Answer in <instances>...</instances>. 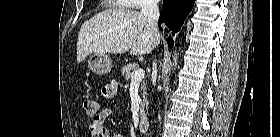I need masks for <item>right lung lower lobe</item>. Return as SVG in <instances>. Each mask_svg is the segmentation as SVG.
Masks as SVG:
<instances>
[{
    "label": "right lung lower lobe",
    "instance_id": "98d812e1",
    "mask_svg": "<svg viewBox=\"0 0 280 137\" xmlns=\"http://www.w3.org/2000/svg\"><path fill=\"white\" fill-rule=\"evenodd\" d=\"M195 0H163V8L159 22L163 21L172 29L180 30L184 20L192 10ZM162 31V29H160ZM170 48L173 47V40L167 39Z\"/></svg>",
    "mask_w": 280,
    "mask_h": 137
}]
</instances>
